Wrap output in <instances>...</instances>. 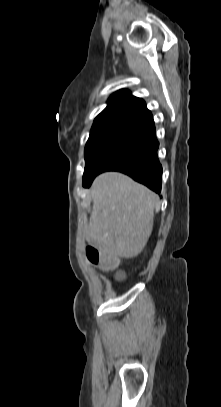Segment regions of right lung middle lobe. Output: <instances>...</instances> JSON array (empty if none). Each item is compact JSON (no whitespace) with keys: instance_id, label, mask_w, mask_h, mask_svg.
<instances>
[{"instance_id":"right-lung-middle-lobe-1","label":"right lung middle lobe","mask_w":221,"mask_h":407,"mask_svg":"<svg viewBox=\"0 0 221 407\" xmlns=\"http://www.w3.org/2000/svg\"><path fill=\"white\" fill-rule=\"evenodd\" d=\"M139 128L120 126L91 132L85 147L83 183L95 175L117 148Z\"/></svg>"}]
</instances>
